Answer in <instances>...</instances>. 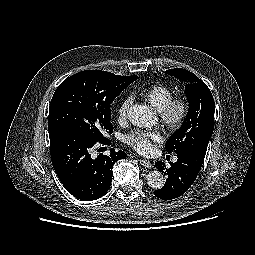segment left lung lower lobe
<instances>
[{
    "label": "left lung lower lobe",
    "instance_id": "left-lung-lower-lobe-1",
    "mask_svg": "<svg viewBox=\"0 0 255 255\" xmlns=\"http://www.w3.org/2000/svg\"><path fill=\"white\" fill-rule=\"evenodd\" d=\"M177 157L176 163L170 162V168H166L165 163H155V167L167 176L164 187L154 192L160 199L172 200L184 194L194 183L205 155L187 151L178 153Z\"/></svg>",
    "mask_w": 255,
    "mask_h": 255
}]
</instances>
